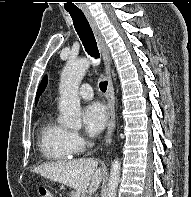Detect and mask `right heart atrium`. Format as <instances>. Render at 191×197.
<instances>
[{
	"label": "right heart atrium",
	"instance_id": "obj_1",
	"mask_svg": "<svg viewBox=\"0 0 191 197\" xmlns=\"http://www.w3.org/2000/svg\"><path fill=\"white\" fill-rule=\"evenodd\" d=\"M67 141L73 152H83L89 145L88 141L76 131L67 132Z\"/></svg>",
	"mask_w": 191,
	"mask_h": 197
}]
</instances>
